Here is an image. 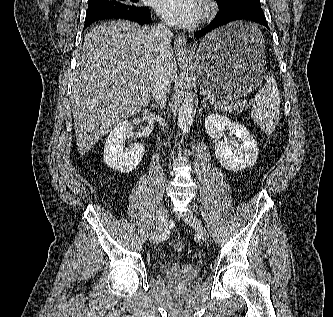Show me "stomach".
Listing matches in <instances>:
<instances>
[{"label":"stomach","instance_id":"1","mask_svg":"<svg viewBox=\"0 0 333 317\" xmlns=\"http://www.w3.org/2000/svg\"><path fill=\"white\" fill-rule=\"evenodd\" d=\"M264 52L257 24L237 21L209 33L196 54L200 87L227 100L255 95L262 82H269Z\"/></svg>","mask_w":333,"mask_h":317}]
</instances>
